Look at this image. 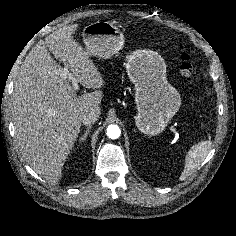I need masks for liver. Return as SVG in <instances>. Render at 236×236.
Instances as JSON below:
<instances>
[{
  "label": "liver",
  "instance_id": "6515ba94",
  "mask_svg": "<svg viewBox=\"0 0 236 236\" xmlns=\"http://www.w3.org/2000/svg\"><path fill=\"white\" fill-rule=\"evenodd\" d=\"M78 25L65 26L39 41L19 70L12 94L15 135L29 166L52 185L81 128V116L101 113L103 78L88 53L74 40ZM60 59L78 83L93 92L77 96Z\"/></svg>",
  "mask_w": 236,
  "mask_h": 236
}]
</instances>
